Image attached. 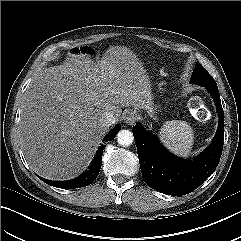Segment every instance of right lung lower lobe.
<instances>
[{"label": "right lung lower lobe", "mask_w": 241, "mask_h": 241, "mask_svg": "<svg viewBox=\"0 0 241 241\" xmlns=\"http://www.w3.org/2000/svg\"><path fill=\"white\" fill-rule=\"evenodd\" d=\"M120 129H121L120 125H117L109 134H107L105 136V138L103 139V141H104L103 143L112 141L116 137V135L120 131ZM104 148H105V145L101 144V146L98 148L95 158L92 161L88 170H86L82 175H80L76 179H73L70 181H65V182H57V181L46 180L41 177H39V178L43 182H45L51 186L63 188V189H73V188H81V187L88 186L94 181V179H96V177L99 174V171H100L101 165H102L101 159H102V154H103Z\"/></svg>", "instance_id": "1"}]
</instances>
